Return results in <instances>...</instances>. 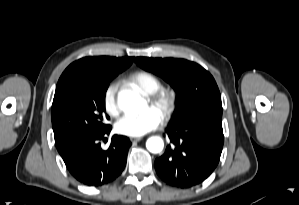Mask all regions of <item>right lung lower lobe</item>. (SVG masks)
<instances>
[{
    "label": "right lung lower lobe",
    "instance_id": "1",
    "mask_svg": "<svg viewBox=\"0 0 299 205\" xmlns=\"http://www.w3.org/2000/svg\"><path fill=\"white\" fill-rule=\"evenodd\" d=\"M110 131L111 126L101 132L80 136L58 151L69 172L84 185L111 183L125 168L131 142L125 136L114 135L110 147L103 150L100 142Z\"/></svg>",
    "mask_w": 299,
    "mask_h": 205
}]
</instances>
